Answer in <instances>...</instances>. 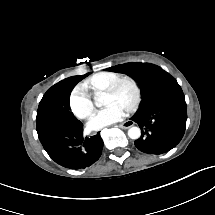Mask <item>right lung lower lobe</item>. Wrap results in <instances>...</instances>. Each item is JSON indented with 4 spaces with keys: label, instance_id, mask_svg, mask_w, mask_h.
Instances as JSON below:
<instances>
[{
    "label": "right lung lower lobe",
    "instance_id": "1",
    "mask_svg": "<svg viewBox=\"0 0 215 215\" xmlns=\"http://www.w3.org/2000/svg\"><path fill=\"white\" fill-rule=\"evenodd\" d=\"M45 151L57 164L69 169H84L94 164L102 153L100 133L84 138L83 124L49 125L37 129Z\"/></svg>",
    "mask_w": 215,
    "mask_h": 215
}]
</instances>
